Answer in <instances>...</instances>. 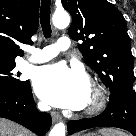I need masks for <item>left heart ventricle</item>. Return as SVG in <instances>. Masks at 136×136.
<instances>
[{
	"mask_svg": "<svg viewBox=\"0 0 136 136\" xmlns=\"http://www.w3.org/2000/svg\"><path fill=\"white\" fill-rule=\"evenodd\" d=\"M92 97H93V93H92V90H91V88H90V89H89V94H88V99H87L86 105H88V104L91 102ZM86 105H85V106H86Z\"/></svg>",
	"mask_w": 136,
	"mask_h": 136,
	"instance_id": "1",
	"label": "left heart ventricle"
}]
</instances>
